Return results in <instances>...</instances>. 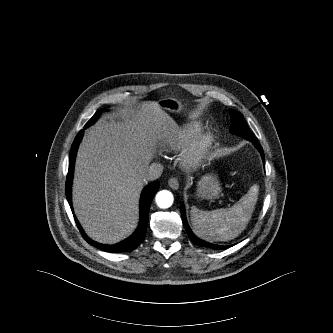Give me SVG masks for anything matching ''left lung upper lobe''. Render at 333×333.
I'll list each match as a JSON object with an SVG mask.
<instances>
[{"mask_svg":"<svg viewBox=\"0 0 333 333\" xmlns=\"http://www.w3.org/2000/svg\"><path fill=\"white\" fill-rule=\"evenodd\" d=\"M229 112L231 115L230 132L242 136L247 140L253 139L243 115L236 110H229Z\"/></svg>","mask_w":333,"mask_h":333,"instance_id":"obj_1","label":"left lung upper lobe"}]
</instances>
